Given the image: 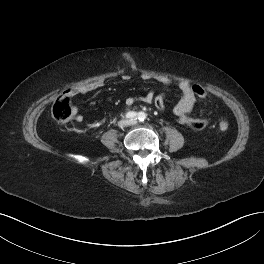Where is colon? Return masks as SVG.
Wrapping results in <instances>:
<instances>
[{"mask_svg": "<svg viewBox=\"0 0 264 264\" xmlns=\"http://www.w3.org/2000/svg\"><path fill=\"white\" fill-rule=\"evenodd\" d=\"M192 92L200 97L205 98L207 97V91L201 85L195 84L191 87ZM52 115L53 118L61 123L68 122L73 117V107L71 105L70 99L67 95H61L55 101L53 108H52ZM186 123L195 130H202L207 127L208 122L205 119L199 118H190L186 117ZM219 128L221 131H226L229 128V124L226 121L219 122Z\"/></svg>", "mask_w": 264, "mask_h": 264, "instance_id": "5ec220e1", "label": "colon"}]
</instances>
